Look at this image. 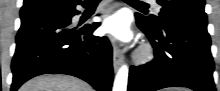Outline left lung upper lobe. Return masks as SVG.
I'll use <instances>...</instances> for the list:
<instances>
[{"instance_id":"1","label":"left lung upper lobe","mask_w":220,"mask_h":91,"mask_svg":"<svg viewBox=\"0 0 220 91\" xmlns=\"http://www.w3.org/2000/svg\"><path fill=\"white\" fill-rule=\"evenodd\" d=\"M162 6L159 16H143L149 25L161 28L176 19L207 24L204 0H157Z\"/></svg>"}]
</instances>
